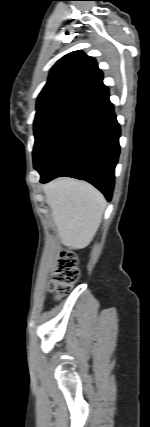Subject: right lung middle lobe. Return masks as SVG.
I'll use <instances>...</instances> for the list:
<instances>
[{"label":"right lung middle lobe","instance_id":"right-lung-middle-lobe-1","mask_svg":"<svg viewBox=\"0 0 150 427\" xmlns=\"http://www.w3.org/2000/svg\"><path fill=\"white\" fill-rule=\"evenodd\" d=\"M80 111L73 107H50L36 112L34 120L35 145L33 161L36 170L41 166L55 140Z\"/></svg>","mask_w":150,"mask_h":427}]
</instances>
